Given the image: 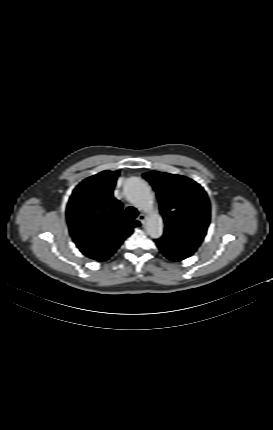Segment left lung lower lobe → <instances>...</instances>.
Segmentation results:
<instances>
[{
  "label": "left lung lower lobe",
  "instance_id": "0a47b994",
  "mask_svg": "<svg viewBox=\"0 0 273 430\" xmlns=\"http://www.w3.org/2000/svg\"><path fill=\"white\" fill-rule=\"evenodd\" d=\"M170 260H172V261H180L181 259L179 257H170Z\"/></svg>",
  "mask_w": 273,
  "mask_h": 430
}]
</instances>
